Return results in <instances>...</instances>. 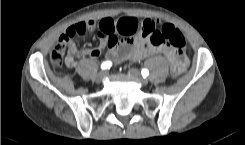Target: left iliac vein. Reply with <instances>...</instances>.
Masks as SVG:
<instances>
[{"label": "left iliac vein", "instance_id": "left-iliac-vein-1", "mask_svg": "<svg viewBox=\"0 0 245 145\" xmlns=\"http://www.w3.org/2000/svg\"><path fill=\"white\" fill-rule=\"evenodd\" d=\"M128 75L142 86L148 85V80L143 78L137 69H130Z\"/></svg>", "mask_w": 245, "mask_h": 145}]
</instances>
